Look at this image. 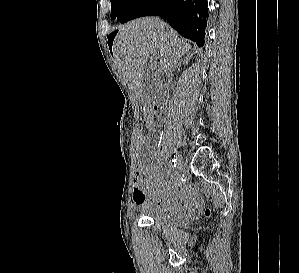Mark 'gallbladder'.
I'll list each match as a JSON object with an SVG mask.
<instances>
[{
	"label": "gallbladder",
	"mask_w": 299,
	"mask_h": 273,
	"mask_svg": "<svg viewBox=\"0 0 299 273\" xmlns=\"http://www.w3.org/2000/svg\"><path fill=\"white\" fill-rule=\"evenodd\" d=\"M143 95L149 98L153 95L154 86L156 84L157 67L154 60H150L144 67L143 71Z\"/></svg>",
	"instance_id": "obj_1"
}]
</instances>
